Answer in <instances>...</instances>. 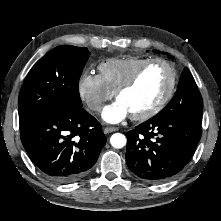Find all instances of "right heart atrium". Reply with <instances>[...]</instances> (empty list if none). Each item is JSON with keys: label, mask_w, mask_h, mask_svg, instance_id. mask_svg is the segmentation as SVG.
Instances as JSON below:
<instances>
[{"label": "right heart atrium", "mask_w": 221, "mask_h": 221, "mask_svg": "<svg viewBox=\"0 0 221 221\" xmlns=\"http://www.w3.org/2000/svg\"><path fill=\"white\" fill-rule=\"evenodd\" d=\"M77 88L80 98L94 112L101 111L104 104L114 94L96 74H82L78 80Z\"/></svg>", "instance_id": "obj_1"}]
</instances>
